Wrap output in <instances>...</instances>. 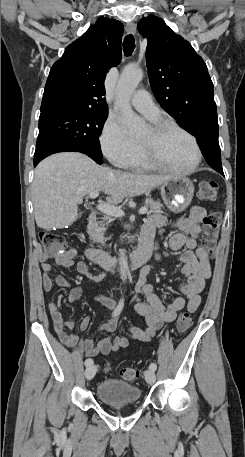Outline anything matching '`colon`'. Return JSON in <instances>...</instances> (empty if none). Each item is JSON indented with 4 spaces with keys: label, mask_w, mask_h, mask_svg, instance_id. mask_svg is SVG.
<instances>
[{
    "label": "colon",
    "mask_w": 245,
    "mask_h": 457,
    "mask_svg": "<svg viewBox=\"0 0 245 457\" xmlns=\"http://www.w3.org/2000/svg\"><path fill=\"white\" fill-rule=\"evenodd\" d=\"M199 197L205 201H215L218 196V185L215 181H204L199 185ZM221 214L211 211L203 221L202 243L206 255L211 254L217 244L221 227ZM40 242L44 248V254L52 257L66 250L64 238L52 231L43 230L39 234ZM193 323L189 313L183 312L179 315L176 323L178 332L187 331ZM120 375L124 380L133 381L139 376L136 368L124 367L120 369Z\"/></svg>",
    "instance_id": "obj_1"
}]
</instances>
